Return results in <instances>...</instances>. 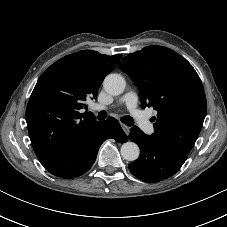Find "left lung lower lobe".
Instances as JSON below:
<instances>
[{"label":"left lung lower lobe","instance_id":"obj_1","mask_svg":"<svg viewBox=\"0 0 227 227\" xmlns=\"http://www.w3.org/2000/svg\"><path fill=\"white\" fill-rule=\"evenodd\" d=\"M129 139L141 149L139 158L128 165L130 172L146 182H159L174 175L187 155L167 147L161 139L146 135L134 126Z\"/></svg>","mask_w":227,"mask_h":227}]
</instances>
